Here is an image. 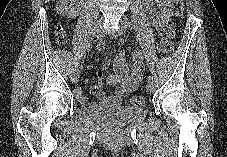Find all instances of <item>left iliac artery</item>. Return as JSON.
I'll use <instances>...</instances> for the list:
<instances>
[{
    "label": "left iliac artery",
    "instance_id": "44dca946",
    "mask_svg": "<svg viewBox=\"0 0 227 157\" xmlns=\"http://www.w3.org/2000/svg\"><path fill=\"white\" fill-rule=\"evenodd\" d=\"M132 27V23L130 21L125 23V28H131ZM148 82L153 81V77L151 75L148 76Z\"/></svg>",
    "mask_w": 227,
    "mask_h": 157
}]
</instances>
